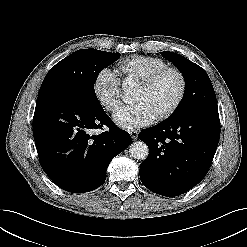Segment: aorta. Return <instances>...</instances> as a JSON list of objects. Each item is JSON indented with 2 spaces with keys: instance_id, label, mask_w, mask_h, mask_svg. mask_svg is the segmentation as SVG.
<instances>
[{
  "instance_id": "obj_1",
  "label": "aorta",
  "mask_w": 247,
  "mask_h": 247,
  "mask_svg": "<svg viewBox=\"0 0 247 247\" xmlns=\"http://www.w3.org/2000/svg\"><path fill=\"white\" fill-rule=\"evenodd\" d=\"M129 151L132 157L137 160H145L149 154L148 146L143 141L133 142Z\"/></svg>"
}]
</instances>
